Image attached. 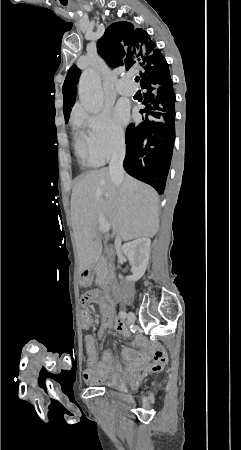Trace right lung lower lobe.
I'll use <instances>...</instances> for the list:
<instances>
[{
    "instance_id": "98d812e1",
    "label": "right lung lower lobe",
    "mask_w": 241,
    "mask_h": 450,
    "mask_svg": "<svg viewBox=\"0 0 241 450\" xmlns=\"http://www.w3.org/2000/svg\"><path fill=\"white\" fill-rule=\"evenodd\" d=\"M141 87L146 89L140 110L146 119L126 130V156L123 167L128 174L154 187L165 188L175 140V93L168 63L144 67Z\"/></svg>"
}]
</instances>
